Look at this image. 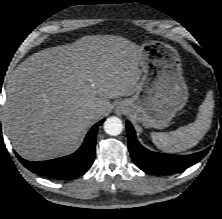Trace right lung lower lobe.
Wrapping results in <instances>:
<instances>
[{
	"instance_id": "obj_1",
	"label": "right lung lower lobe",
	"mask_w": 222,
	"mask_h": 219,
	"mask_svg": "<svg viewBox=\"0 0 222 219\" xmlns=\"http://www.w3.org/2000/svg\"><path fill=\"white\" fill-rule=\"evenodd\" d=\"M96 123L87 133L82 146L73 154L53 160L30 162L17 155L20 162L30 171L53 179H71L83 175L92 165L96 152Z\"/></svg>"
}]
</instances>
